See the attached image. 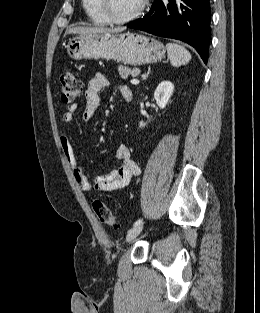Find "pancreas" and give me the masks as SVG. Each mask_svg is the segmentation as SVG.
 <instances>
[{
  "label": "pancreas",
  "instance_id": "obj_1",
  "mask_svg": "<svg viewBox=\"0 0 260 313\" xmlns=\"http://www.w3.org/2000/svg\"><path fill=\"white\" fill-rule=\"evenodd\" d=\"M118 72L119 75L123 78V79H127L130 75L135 77L140 73V70L138 68H130V67H123V66H119L118 67Z\"/></svg>",
  "mask_w": 260,
  "mask_h": 313
}]
</instances>
